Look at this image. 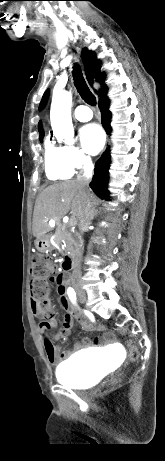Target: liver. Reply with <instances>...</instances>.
<instances>
[{"label": "liver", "instance_id": "obj_1", "mask_svg": "<svg viewBox=\"0 0 165 461\" xmlns=\"http://www.w3.org/2000/svg\"><path fill=\"white\" fill-rule=\"evenodd\" d=\"M84 202L85 194L77 180L48 186L36 199L33 213V235L37 239L41 238L51 230L50 220L59 224L69 211L79 220L83 213Z\"/></svg>", "mask_w": 165, "mask_h": 461}]
</instances>
